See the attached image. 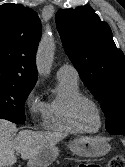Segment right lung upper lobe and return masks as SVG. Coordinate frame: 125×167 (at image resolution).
<instances>
[{
	"label": "right lung upper lobe",
	"instance_id": "obj_1",
	"mask_svg": "<svg viewBox=\"0 0 125 167\" xmlns=\"http://www.w3.org/2000/svg\"><path fill=\"white\" fill-rule=\"evenodd\" d=\"M40 37L41 22L34 10L13 3L0 6V84L34 87Z\"/></svg>",
	"mask_w": 125,
	"mask_h": 167
}]
</instances>
